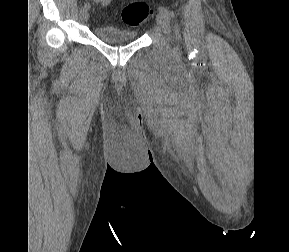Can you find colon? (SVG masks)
<instances>
[{
  "instance_id": "1",
  "label": "colon",
  "mask_w": 289,
  "mask_h": 252,
  "mask_svg": "<svg viewBox=\"0 0 289 252\" xmlns=\"http://www.w3.org/2000/svg\"><path fill=\"white\" fill-rule=\"evenodd\" d=\"M151 10L149 6L143 2H132L127 4L122 10V20L129 26H139L143 24Z\"/></svg>"
}]
</instances>
